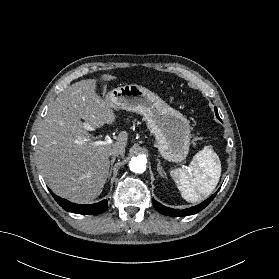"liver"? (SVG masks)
Masks as SVG:
<instances>
[{
	"instance_id": "liver-1",
	"label": "liver",
	"mask_w": 279,
	"mask_h": 279,
	"mask_svg": "<svg viewBox=\"0 0 279 279\" xmlns=\"http://www.w3.org/2000/svg\"><path fill=\"white\" fill-rule=\"evenodd\" d=\"M114 79L104 74L100 81ZM96 88L97 79L67 87L50 105L37 135V161L45 181L56 195L77 203L90 202L101 194L109 174V153L113 149L125 152L128 140V133L122 131L111 144H93L94 137L81 119L91 128L116 120L109 92L100 97Z\"/></svg>"
}]
</instances>
